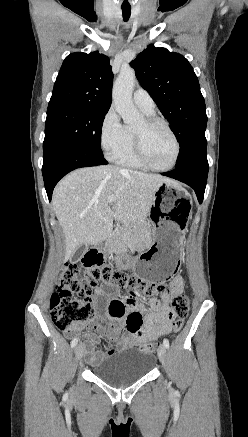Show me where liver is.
<instances>
[{
	"label": "liver",
	"mask_w": 248,
	"mask_h": 437,
	"mask_svg": "<svg viewBox=\"0 0 248 437\" xmlns=\"http://www.w3.org/2000/svg\"><path fill=\"white\" fill-rule=\"evenodd\" d=\"M161 183L173 181L112 165L80 168L64 177L54 189L52 205L65 236V261L80 246L106 240L113 220L143 225ZM109 196L116 197L112 209Z\"/></svg>",
	"instance_id": "6515ba94"
}]
</instances>
